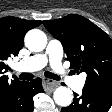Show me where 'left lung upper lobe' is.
<instances>
[{
    "instance_id": "1",
    "label": "left lung upper lobe",
    "mask_w": 112,
    "mask_h": 112,
    "mask_svg": "<svg viewBox=\"0 0 112 112\" xmlns=\"http://www.w3.org/2000/svg\"><path fill=\"white\" fill-rule=\"evenodd\" d=\"M64 48L70 68L86 72L85 88L112 92V40L98 26L77 14L43 21Z\"/></svg>"
}]
</instances>
